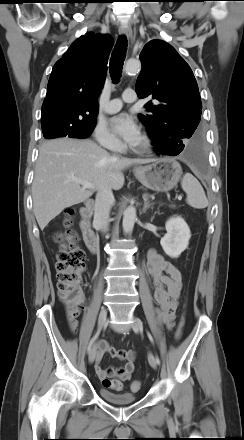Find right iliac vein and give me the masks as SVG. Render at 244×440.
Here are the masks:
<instances>
[{
	"label": "right iliac vein",
	"instance_id": "right-iliac-vein-1",
	"mask_svg": "<svg viewBox=\"0 0 244 440\" xmlns=\"http://www.w3.org/2000/svg\"><path fill=\"white\" fill-rule=\"evenodd\" d=\"M106 319H107V310L106 308H102L99 314V318H98V329L101 330L103 328V326L106 323ZM96 345L94 344L90 354H89V362L93 363L95 360V355H96Z\"/></svg>",
	"mask_w": 244,
	"mask_h": 440
}]
</instances>
